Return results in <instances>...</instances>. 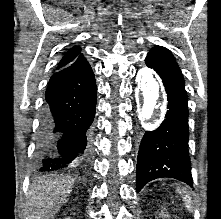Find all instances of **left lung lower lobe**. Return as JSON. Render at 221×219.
I'll return each mask as SVG.
<instances>
[{
    "mask_svg": "<svg viewBox=\"0 0 221 219\" xmlns=\"http://www.w3.org/2000/svg\"><path fill=\"white\" fill-rule=\"evenodd\" d=\"M145 63L163 81L168 111L159 128L147 131L140 143L137 159L136 191L149 181L170 177L193 186L188 151L189 126L187 94L181 70L171 52L154 47Z\"/></svg>",
    "mask_w": 221,
    "mask_h": 219,
    "instance_id": "left-lung-lower-lobe-1",
    "label": "left lung lower lobe"
}]
</instances>
